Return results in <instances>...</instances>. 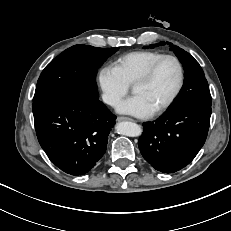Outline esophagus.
<instances>
[{
    "label": "esophagus",
    "mask_w": 231,
    "mask_h": 231,
    "mask_svg": "<svg viewBox=\"0 0 231 231\" xmlns=\"http://www.w3.org/2000/svg\"><path fill=\"white\" fill-rule=\"evenodd\" d=\"M118 121H133V119L129 118V117H124V116H119L117 118Z\"/></svg>",
    "instance_id": "obj_1"
}]
</instances>
